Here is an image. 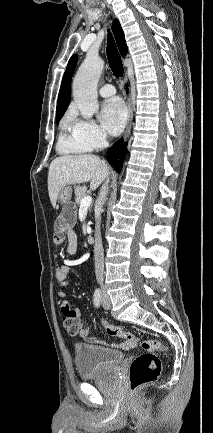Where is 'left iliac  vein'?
I'll use <instances>...</instances> for the list:
<instances>
[{"label":"left iliac vein","instance_id":"1","mask_svg":"<svg viewBox=\"0 0 213 433\" xmlns=\"http://www.w3.org/2000/svg\"><path fill=\"white\" fill-rule=\"evenodd\" d=\"M102 306L106 310L111 308V300H110V297L107 295L106 292H103V294H102Z\"/></svg>","mask_w":213,"mask_h":433}]
</instances>
